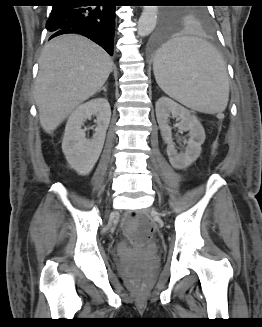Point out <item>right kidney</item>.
Masks as SVG:
<instances>
[{
    "label": "right kidney",
    "mask_w": 262,
    "mask_h": 327,
    "mask_svg": "<svg viewBox=\"0 0 262 327\" xmlns=\"http://www.w3.org/2000/svg\"><path fill=\"white\" fill-rule=\"evenodd\" d=\"M96 116V128L92 139H87L84 122ZM111 118L109 102L105 98L92 99L78 106L69 116L62 141V151L70 164L80 175H87L93 169L102 151L106 131Z\"/></svg>",
    "instance_id": "1"
}]
</instances>
